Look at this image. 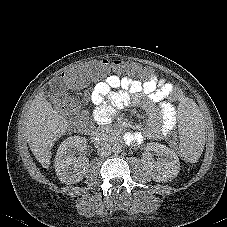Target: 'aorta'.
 <instances>
[{"label":"aorta","instance_id":"obj_1","mask_svg":"<svg viewBox=\"0 0 227 227\" xmlns=\"http://www.w3.org/2000/svg\"><path fill=\"white\" fill-rule=\"evenodd\" d=\"M112 151L113 153L115 154H119L122 152V145L119 144V143H115L113 146H112Z\"/></svg>","mask_w":227,"mask_h":227}]
</instances>
